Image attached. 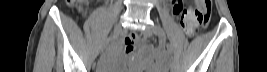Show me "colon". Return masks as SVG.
Here are the masks:
<instances>
[{"mask_svg":"<svg viewBox=\"0 0 267 72\" xmlns=\"http://www.w3.org/2000/svg\"><path fill=\"white\" fill-rule=\"evenodd\" d=\"M70 5L76 6L79 10H84L87 4L86 0H68ZM195 7L189 10V13L196 17L197 23L194 26L187 27L189 33H197L200 26H206L211 17V0H196ZM173 9L179 11V2H174Z\"/></svg>","mask_w":267,"mask_h":72,"instance_id":"5ec220e1","label":"colon"}]
</instances>
